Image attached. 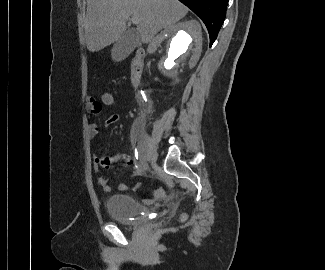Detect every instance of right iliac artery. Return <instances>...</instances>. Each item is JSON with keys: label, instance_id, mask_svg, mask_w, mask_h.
Instances as JSON below:
<instances>
[{"label": "right iliac artery", "instance_id": "obj_1", "mask_svg": "<svg viewBox=\"0 0 325 270\" xmlns=\"http://www.w3.org/2000/svg\"><path fill=\"white\" fill-rule=\"evenodd\" d=\"M145 143H146V149H147V157L151 153L152 149L154 148L153 144L151 143L150 138L145 135Z\"/></svg>", "mask_w": 325, "mask_h": 270}]
</instances>
